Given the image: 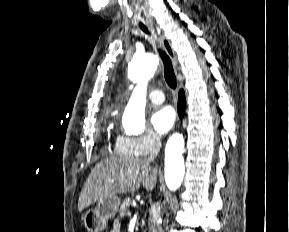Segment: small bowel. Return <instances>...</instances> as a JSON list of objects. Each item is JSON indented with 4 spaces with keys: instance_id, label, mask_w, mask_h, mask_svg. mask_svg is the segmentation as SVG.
<instances>
[{
    "instance_id": "obj_1",
    "label": "small bowel",
    "mask_w": 289,
    "mask_h": 232,
    "mask_svg": "<svg viewBox=\"0 0 289 232\" xmlns=\"http://www.w3.org/2000/svg\"><path fill=\"white\" fill-rule=\"evenodd\" d=\"M121 226L119 222H115L110 232H120Z\"/></svg>"
}]
</instances>
